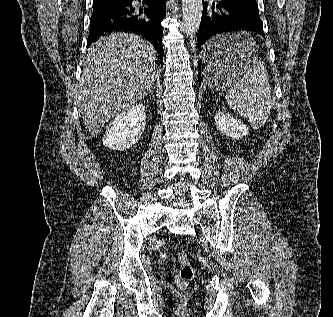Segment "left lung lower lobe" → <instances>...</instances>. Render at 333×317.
I'll use <instances>...</instances> for the list:
<instances>
[{"label": "left lung lower lobe", "instance_id": "obj_1", "mask_svg": "<svg viewBox=\"0 0 333 317\" xmlns=\"http://www.w3.org/2000/svg\"><path fill=\"white\" fill-rule=\"evenodd\" d=\"M254 31L265 37L263 23L259 17L256 0H216L212 5L203 1L202 19L198 31V49L216 34ZM240 50L231 49L226 44H215L206 50L204 62L198 63V81L201 84L205 66L219 62L226 57L239 54Z\"/></svg>", "mask_w": 333, "mask_h": 317}]
</instances>
